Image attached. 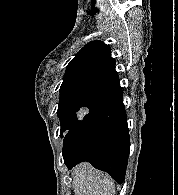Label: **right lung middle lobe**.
I'll return each instance as SVG.
<instances>
[{"label":"right lung middle lobe","instance_id":"1","mask_svg":"<svg viewBox=\"0 0 178 195\" xmlns=\"http://www.w3.org/2000/svg\"><path fill=\"white\" fill-rule=\"evenodd\" d=\"M96 97L85 94L60 97L57 114L61 121V138L65 139L72 129L83 119L82 111H87ZM63 133H65L64 136Z\"/></svg>","mask_w":178,"mask_h":195}]
</instances>
